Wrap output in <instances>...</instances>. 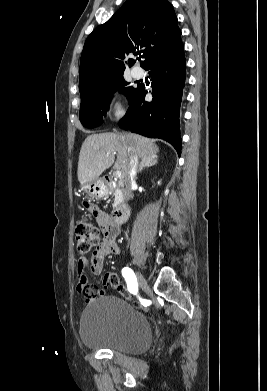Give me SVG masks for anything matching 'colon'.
<instances>
[{"label":"colon","mask_w":267,"mask_h":391,"mask_svg":"<svg viewBox=\"0 0 267 391\" xmlns=\"http://www.w3.org/2000/svg\"><path fill=\"white\" fill-rule=\"evenodd\" d=\"M75 236L77 251L80 256L93 254L101 245L100 231L87 217H82L78 221L75 227ZM110 285L125 298H131L126 287L120 282L116 275L111 276Z\"/></svg>","instance_id":"colon-1"}]
</instances>
